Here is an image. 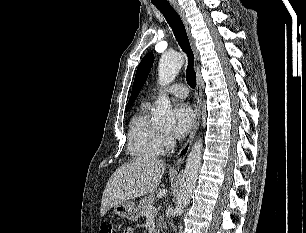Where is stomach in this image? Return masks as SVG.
<instances>
[{
  "label": "stomach",
  "instance_id": "0dacf381",
  "mask_svg": "<svg viewBox=\"0 0 306 233\" xmlns=\"http://www.w3.org/2000/svg\"><path fill=\"white\" fill-rule=\"evenodd\" d=\"M114 212L119 217L126 218L130 221H137L140 214L136 203L130 200L116 204L114 206Z\"/></svg>",
  "mask_w": 306,
  "mask_h": 233
}]
</instances>
